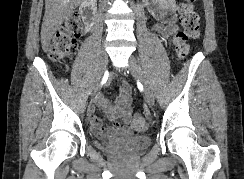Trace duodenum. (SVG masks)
<instances>
[{
    "mask_svg": "<svg viewBox=\"0 0 244 179\" xmlns=\"http://www.w3.org/2000/svg\"><path fill=\"white\" fill-rule=\"evenodd\" d=\"M96 13V1L84 0L80 8L81 17L88 23V27L92 28L94 16Z\"/></svg>",
    "mask_w": 244,
    "mask_h": 179,
    "instance_id": "1",
    "label": "duodenum"
}]
</instances>
